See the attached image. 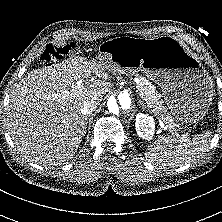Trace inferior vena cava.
<instances>
[{"mask_svg":"<svg viewBox=\"0 0 222 222\" xmlns=\"http://www.w3.org/2000/svg\"><path fill=\"white\" fill-rule=\"evenodd\" d=\"M97 107V103L94 99H89L83 102L82 107H81V114L82 115H88L90 114L93 110H95Z\"/></svg>","mask_w":222,"mask_h":222,"instance_id":"obj_1","label":"inferior vena cava"}]
</instances>
